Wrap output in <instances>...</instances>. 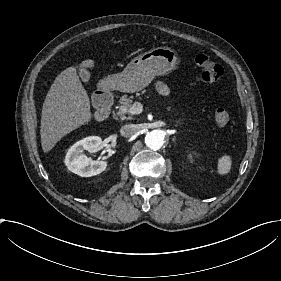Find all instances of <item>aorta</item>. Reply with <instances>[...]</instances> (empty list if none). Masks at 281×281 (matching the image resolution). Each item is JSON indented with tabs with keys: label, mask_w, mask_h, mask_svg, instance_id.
Instances as JSON below:
<instances>
[{
	"label": "aorta",
	"mask_w": 281,
	"mask_h": 281,
	"mask_svg": "<svg viewBox=\"0 0 281 281\" xmlns=\"http://www.w3.org/2000/svg\"><path fill=\"white\" fill-rule=\"evenodd\" d=\"M166 136L163 130H152L146 134L145 144L152 150H159L165 143Z\"/></svg>",
	"instance_id": "aorta-1"
}]
</instances>
